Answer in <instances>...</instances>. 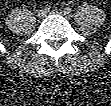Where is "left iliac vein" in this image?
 Segmentation results:
<instances>
[{
    "mask_svg": "<svg viewBox=\"0 0 111 106\" xmlns=\"http://www.w3.org/2000/svg\"><path fill=\"white\" fill-rule=\"evenodd\" d=\"M50 14H57V15H62L64 16L65 18H69L70 15L67 14L65 11H62V10H59V9H55V10H52V11H49Z\"/></svg>",
    "mask_w": 111,
    "mask_h": 106,
    "instance_id": "4c4485c4",
    "label": "left iliac vein"
}]
</instances>
